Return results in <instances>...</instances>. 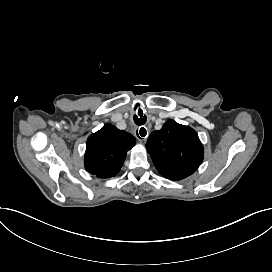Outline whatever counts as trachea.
<instances>
[{
  "label": "trachea",
  "mask_w": 272,
  "mask_h": 272,
  "mask_svg": "<svg viewBox=\"0 0 272 272\" xmlns=\"http://www.w3.org/2000/svg\"><path fill=\"white\" fill-rule=\"evenodd\" d=\"M134 120H135L136 124L143 125L144 122L146 121V117H143V118L135 117ZM140 135L141 136H145L146 135V129L143 126H141Z\"/></svg>",
  "instance_id": "trachea-1"
}]
</instances>
